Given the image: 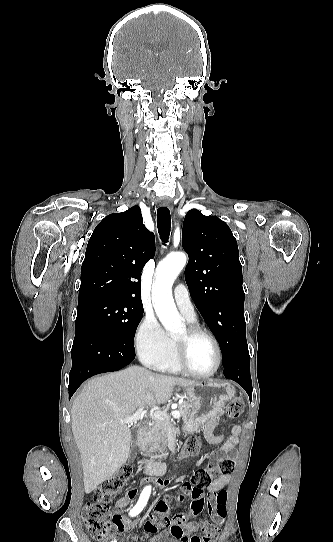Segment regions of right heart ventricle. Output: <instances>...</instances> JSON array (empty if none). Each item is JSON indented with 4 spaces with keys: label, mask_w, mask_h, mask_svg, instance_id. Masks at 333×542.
Segmentation results:
<instances>
[{
    "label": "right heart ventricle",
    "mask_w": 333,
    "mask_h": 542,
    "mask_svg": "<svg viewBox=\"0 0 333 542\" xmlns=\"http://www.w3.org/2000/svg\"><path fill=\"white\" fill-rule=\"evenodd\" d=\"M169 344L161 352L142 358L143 363L153 369L171 373H177L181 369L176 363L173 350H172V338L168 336Z\"/></svg>",
    "instance_id": "right-heart-ventricle-1"
}]
</instances>
